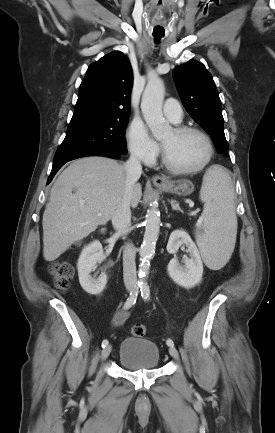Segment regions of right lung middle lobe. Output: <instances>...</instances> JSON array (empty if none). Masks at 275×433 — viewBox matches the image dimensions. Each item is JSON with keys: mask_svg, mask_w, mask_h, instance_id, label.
I'll use <instances>...</instances> for the list:
<instances>
[{"mask_svg": "<svg viewBox=\"0 0 275 433\" xmlns=\"http://www.w3.org/2000/svg\"><path fill=\"white\" fill-rule=\"evenodd\" d=\"M128 118L85 117L71 119L55 157L99 149L127 153L124 138Z\"/></svg>", "mask_w": 275, "mask_h": 433, "instance_id": "dd1d6c3e", "label": "right lung middle lobe"}]
</instances>
